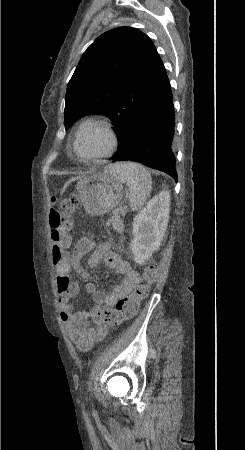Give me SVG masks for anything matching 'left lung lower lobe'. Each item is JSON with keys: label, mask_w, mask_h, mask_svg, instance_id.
<instances>
[{"label": "left lung lower lobe", "mask_w": 245, "mask_h": 450, "mask_svg": "<svg viewBox=\"0 0 245 450\" xmlns=\"http://www.w3.org/2000/svg\"><path fill=\"white\" fill-rule=\"evenodd\" d=\"M175 112L168 77L146 103L123 149L111 158L113 162L132 160L163 171L177 181L173 138Z\"/></svg>", "instance_id": "0a47b994"}]
</instances>
